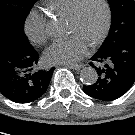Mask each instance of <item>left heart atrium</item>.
Listing matches in <instances>:
<instances>
[{
	"mask_svg": "<svg viewBox=\"0 0 135 135\" xmlns=\"http://www.w3.org/2000/svg\"><path fill=\"white\" fill-rule=\"evenodd\" d=\"M88 52V42L79 35H73L67 40L55 41L44 53V59L49 64H74L80 61Z\"/></svg>",
	"mask_w": 135,
	"mask_h": 135,
	"instance_id": "39dd6f15",
	"label": "left heart atrium"
}]
</instances>
